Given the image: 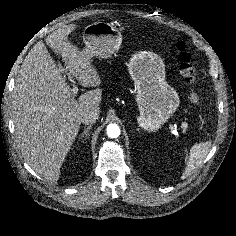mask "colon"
Masks as SVG:
<instances>
[{"label":"colon","mask_w":236,"mask_h":236,"mask_svg":"<svg viewBox=\"0 0 236 236\" xmlns=\"http://www.w3.org/2000/svg\"><path fill=\"white\" fill-rule=\"evenodd\" d=\"M178 51V60L180 63V73L184 78L185 82L188 84L190 89L189 98L193 104H198L200 102L199 94L196 91L197 87V69L195 63L187 51L186 45L183 42H178L176 45Z\"/></svg>","instance_id":"5ec220e1"}]
</instances>
